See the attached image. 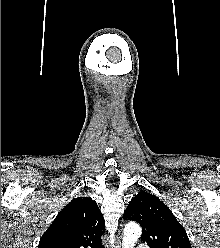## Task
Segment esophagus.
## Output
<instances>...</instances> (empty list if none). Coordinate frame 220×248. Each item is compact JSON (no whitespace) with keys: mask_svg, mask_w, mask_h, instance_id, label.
I'll use <instances>...</instances> for the list:
<instances>
[{"mask_svg":"<svg viewBox=\"0 0 220 248\" xmlns=\"http://www.w3.org/2000/svg\"><path fill=\"white\" fill-rule=\"evenodd\" d=\"M114 248H121V236L117 237V242H116V245L114 246Z\"/></svg>","mask_w":220,"mask_h":248,"instance_id":"1","label":"esophagus"}]
</instances>
